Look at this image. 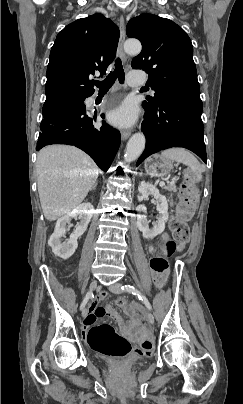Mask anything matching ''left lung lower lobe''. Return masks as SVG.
<instances>
[{
    "instance_id": "left-lung-lower-lobe-1",
    "label": "left lung lower lobe",
    "mask_w": 243,
    "mask_h": 404,
    "mask_svg": "<svg viewBox=\"0 0 243 404\" xmlns=\"http://www.w3.org/2000/svg\"><path fill=\"white\" fill-rule=\"evenodd\" d=\"M201 114L202 101L189 98L165 100L156 110L145 114L141 130L146 137V148L136 165L151 154L172 147L187 148L206 163Z\"/></svg>"
}]
</instances>
